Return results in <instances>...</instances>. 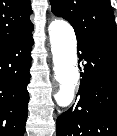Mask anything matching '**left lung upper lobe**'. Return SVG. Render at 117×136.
<instances>
[{"label": "left lung upper lobe", "mask_w": 117, "mask_h": 136, "mask_svg": "<svg viewBox=\"0 0 117 136\" xmlns=\"http://www.w3.org/2000/svg\"><path fill=\"white\" fill-rule=\"evenodd\" d=\"M54 15L66 19L77 40L117 49V29L109 0H50Z\"/></svg>", "instance_id": "obj_1"}]
</instances>
